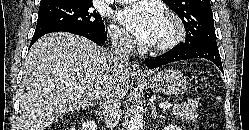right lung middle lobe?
<instances>
[{
  "label": "right lung middle lobe",
  "instance_id": "right-lung-middle-lobe-1",
  "mask_svg": "<svg viewBox=\"0 0 249 130\" xmlns=\"http://www.w3.org/2000/svg\"><path fill=\"white\" fill-rule=\"evenodd\" d=\"M93 7L92 0H66L50 6H40L35 33L66 27L103 32V20L99 13L92 10Z\"/></svg>",
  "mask_w": 249,
  "mask_h": 130
}]
</instances>
